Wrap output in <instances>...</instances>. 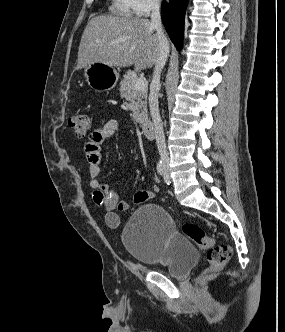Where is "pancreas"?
<instances>
[{"instance_id":"obj_1","label":"pancreas","mask_w":285,"mask_h":332,"mask_svg":"<svg viewBox=\"0 0 285 332\" xmlns=\"http://www.w3.org/2000/svg\"><path fill=\"white\" fill-rule=\"evenodd\" d=\"M137 79L138 77L136 73L128 71L120 82V93L121 96L127 101V104L132 101L137 102L136 110L140 113L137 114L136 122L143 126L148 118L146 103L147 89L145 88L142 91H136L134 87Z\"/></svg>"}]
</instances>
